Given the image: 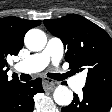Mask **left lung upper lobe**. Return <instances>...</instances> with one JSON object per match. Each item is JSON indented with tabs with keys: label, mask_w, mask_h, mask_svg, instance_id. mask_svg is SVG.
Wrapping results in <instances>:
<instances>
[{
	"label": "left lung upper lobe",
	"mask_w": 112,
	"mask_h": 112,
	"mask_svg": "<svg viewBox=\"0 0 112 112\" xmlns=\"http://www.w3.org/2000/svg\"><path fill=\"white\" fill-rule=\"evenodd\" d=\"M43 22L62 40L70 68L88 69L85 86L112 90V39L102 28L75 14Z\"/></svg>",
	"instance_id": "obj_1"
}]
</instances>
